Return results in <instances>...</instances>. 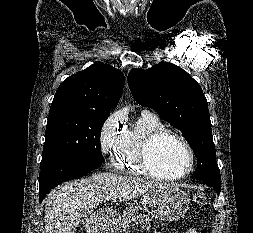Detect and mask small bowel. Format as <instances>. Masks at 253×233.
<instances>
[{
	"label": "small bowel",
	"mask_w": 253,
	"mask_h": 233,
	"mask_svg": "<svg viewBox=\"0 0 253 233\" xmlns=\"http://www.w3.org/2000/svg\"><path fill=\"white\" fill-rule=\"evenodd\" d=\"M187 233H197V231L192 229V230H188Z\"/></svg>",
	"instance_id": "1"
}]
</instances>
